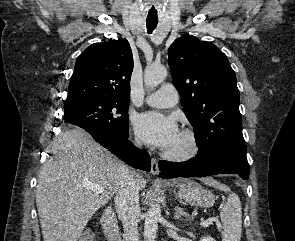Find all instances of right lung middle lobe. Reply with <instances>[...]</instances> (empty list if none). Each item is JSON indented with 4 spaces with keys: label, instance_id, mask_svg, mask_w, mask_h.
I'll return each mask as SVG.
<instances>
[{
    "label": "right lung middle lobe",
    "instance_id": "1",
    "mask_svg": "<svg viewBox=\"0 0 295 241\" xmlns=\"http://www.w3.org/2000/svg\"><path fill=\"white\" fill-rule=\"evenodd\" d=\"M129 102L89 101L72 105L65 109L68 123L81 128H97L115 135L129 133Z\"/></svg>",
    "mask_w": 295,
    "mask_h": 241
}]
</instances>
